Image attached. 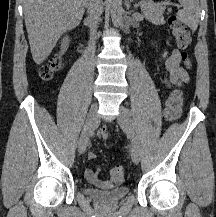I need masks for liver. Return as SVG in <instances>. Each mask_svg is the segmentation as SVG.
<instances>
[{"instance_id": "liver-1", "label": "liver", "mask_w": 216, "mask_h": 217, "mask_svg": "<svg viewBox=\"0 0 216 217\" xmlns=\"http://www.w3.org/2000/svg\"><path fill=\"white\" fill-rule=\"evenodd\" d=\"M86 0H24L25 25L36 64L43 63L60 36L83 18Z\"/></svg>"}]
</instances>
